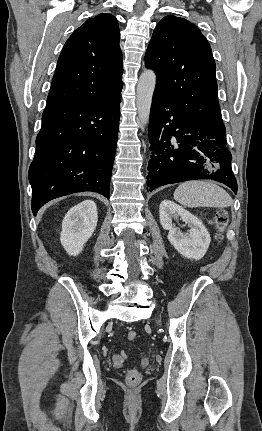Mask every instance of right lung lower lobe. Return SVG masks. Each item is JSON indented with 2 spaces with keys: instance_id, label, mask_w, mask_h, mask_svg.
I'll return each instance as SVG.
<instances>
[{
  "instance_id": "right-lung-lower-lobe-1",
  "label": "right lung lower lobe",
  "mask_w": 262,
  "mask_h": 431,
  "mask_svg": "<svg viewBox=\"0 0 262 431\" xmlns=\"http://www.w3.org/2000/svg\"><path fill=\"white\" fill-rule=\"evenodd\" d=\"M121 92L97 103L47 104L29 168L32 211L75 192L109 199L117 145Z\"/></svg>"
}]
</instances>
